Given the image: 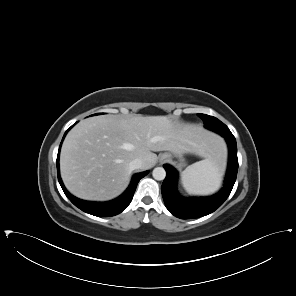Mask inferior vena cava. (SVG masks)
<instances>
[{"mask_svg": "<svg viewBox=\"0 0 296 296\" xmlns=\"http://www.w3.org/2000/svg\"><path fill=\"white\" fill-rule=\"evenodd\" d=\"M142 165H143V161L139 158H136L129 163V168L131 170L141 169Z\"/></svg>", "mask_w": 296, "mask_h": 296, "instance_id": "inferior-vena-cava-1", "label": "inferior vena cava"}]
</instances>
